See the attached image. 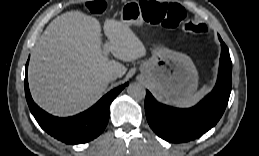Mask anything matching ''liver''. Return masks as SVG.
<instances>
[{"label": "liver", "mask_w": 259, "mask_h": 156, "mask_svg": "<svg viewBox=\"0 0 259 156\" xmlns=\"http://www.w3.org/2000/svg\"><path fill=\"white\" fill-rule=\"evenodd\" d=\"M104 33L115 58L130 62L145 56L144 44L128 24L107 20ZM101 40L100 23L78 10L61 14L47 26L28 71L32 97L42 109L59 117L78 114L99 100L110 73H126L124 65L104 55Z\"/></svg>", "instance_id": "6515ba94"}]
</instances>
